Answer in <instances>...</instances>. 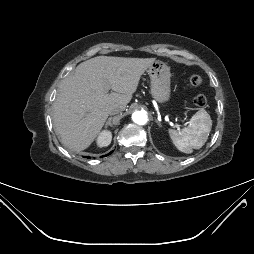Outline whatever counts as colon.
<instances>
[{
	"label": "colon",
	"mask_w": 254,
	"mask_h": 254,
	"mask_svg": "<svg viewBox=\"0 0 254 254\" xmlns=\"http://www.w3.org/2000/svg\"><path fill=\"white\" fill-rule=\"evenodd\" d=\"M202 83V78L201 76L197 75V74H193L190 76L189 78V85L191 87H199ZM194 105L196 107H203L206 104V97L203 94H198L194 97Z\"/></svg>",
	"instance_id": "colon-1"
}]
</instances>
